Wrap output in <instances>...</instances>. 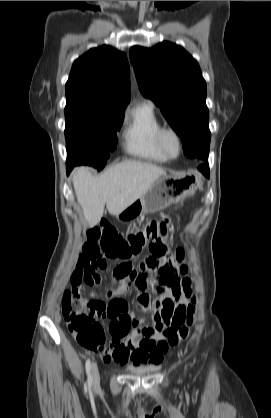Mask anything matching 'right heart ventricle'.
Returning <instances> with one entry per match:
<instances>
[{"label":"right heart ventricle","mask_w":271,"mask_h":418,"mask_svg":"<svg viewBox=\"0 0 271 418\" xmlns=\"http://www.w3.org/2000/svg\"><path fill=\"white\" fill-rule=\"evenodd\" d=\"M161 123L150 103H143L130 113L123 132L125 151L136 158L163 163L168 158L159 150L156 134Z\"/></svg>","instance_id":"1"}]
</instances>
